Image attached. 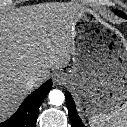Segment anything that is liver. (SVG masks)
Returning a JSON list of instances; mask_svg holds the SVG:
<instances>
[{"label": "liver", "instance_id": "1", "mask_svg": "<svg viewBox=\"0 0 127 127\" xmlns=\"http://www.w3.org/2000/svg\"><path fill=\"white\" fill-rule=\"evenodd\" d=\"M82 11L76 3H54L0 16V120L31 92L26 86L30 77L40 76L36 88L49 77L50 69L68 65Z\"/></svg>", "mask_w": 127, "mask_h": 127}]
</instances>
